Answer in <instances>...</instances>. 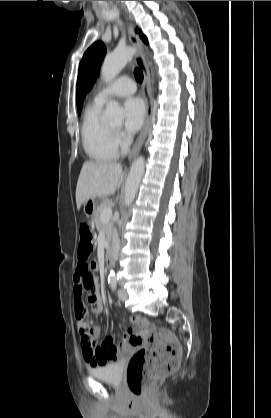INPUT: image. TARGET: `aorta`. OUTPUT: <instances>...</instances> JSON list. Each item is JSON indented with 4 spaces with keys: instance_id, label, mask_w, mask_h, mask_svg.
Segmentation results:
<instances>
[{
    "instance_id": "762f6f07",
    "label": "aorta",
    "mask_w": 271,
    "mask_h": 418,
    "mask_svg": "<svg viewBox=\"0 0 271 418\" xmlns=\"http://www.w3.org/2000/svg\"><path fill=\"white\" fill-rule=\"evenodd\" d=\"M135 50L131 47L119 48L108 54L101 67L102 78L109 82L113 80L120 71L126 66L128 60L132 57ZM124 118V111L116 101H109L104 113V121L114 124L122 125ZM145 170V159L140 156L134 160L131 165L130 172L125 184V205L130 206L137 194L139 184L143 177ZM111 280H115L114 272L109 275Z\"/></svg>"
}]
</instances>
